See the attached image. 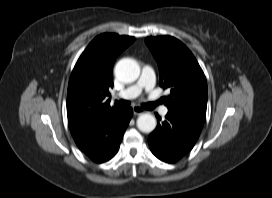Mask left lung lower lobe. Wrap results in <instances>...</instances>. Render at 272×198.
Returning <instances> with one entry per match:
<instances>
[{"label": "left lung lower lobe", "mask_w": 272, "mask_h": 198, "mask_svg": "<svg viewBox=\"0 0 272 198\" xmlns=\"http://www.w3.org/2000/svg\"><path fill=\"white\" fill-rule=\"evenodd\" d=\"M203 125L202 120L168 111L166 120L149 135L150 149L160 160L176 162L193 148Z\"/></svg>", "instance_id": "1"}]
</instances>
